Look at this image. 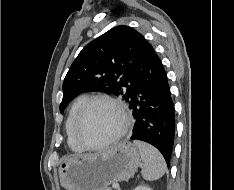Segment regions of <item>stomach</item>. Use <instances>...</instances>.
I'll list each match as a JSON object with an SVG mask.
<instances>
[{
  "label": "stomach",
  "instance_id": "stomach-1",
  "mask_svg": "<svg viewBox=\"0 0 234 190\" xmlns=\"http://www.w3.org/2000/svg\"><path fill=\"white\" fill-rule=\"evenodd\" d=\"M140 161L138 148L123 141L98 154L65 159L59 167L60 183L66 190H106L131 178Z\"/></svg>",
  "mask_w": 234,
  "mask_h": 190
}]
</instances>
